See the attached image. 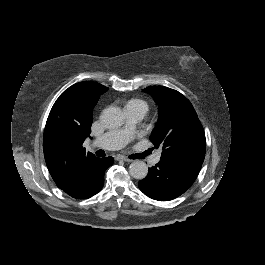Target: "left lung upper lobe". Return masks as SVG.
<instances>
[{
  "label": "left lung upper lobe",
  "mask_w": 265,
  "mask_h": 265,
  "mask_svg": "<svg viewBox=\"0 0 265 265\" xmlns=\"http://www.w3.org/2000/svg\"><path fill=\"white\" fill-rule=\"evenodd\" d=\"M143 91L151 94L158 105L159 120L150 140L155 147H162L161 160L202 164L205 133L190 101L164 86H150Z\"/></svg>",
  "instance_id": "5c2ea615"
}]
</instances>
